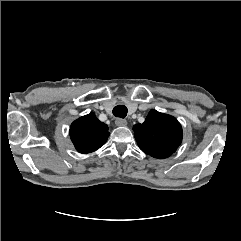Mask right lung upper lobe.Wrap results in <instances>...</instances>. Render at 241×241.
I'll list each match as a JSON object with an SVG mask.
<instances>
[{
    "label": "right lung upper lobe",
    "instance_id": "cb5924a9",
    "mask_svg": "<svg viewBox=\"0 0 241 241\" xmlns=\"http://www.w3.org/2000/svg\"><path fill=\"white\" fill-rule=\"evenodd\" d=\"M108 127L94 113L75 120L70 127L71 140L79 153L87 154L99 149L109 136Z\"/></svg>",
    "mask_w": 241,
    "mask_h": 241
}]
</instances>
